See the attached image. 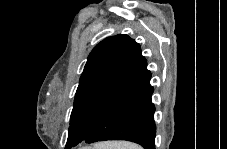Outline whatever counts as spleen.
I'll use <instances>...</instances> for the list:
<instances>
[{
  "instance_id": "3e777b00",
  "label": "spleen",
  "mask_w": 227,
  "mask_h": 149,
  "mask_svg": "<svg viewBox=\"0 0 227 149\" xmlns=\"http://www.w3.org/2000/svg\"><path fill=\"white\" fill-rule=\"evenodd\" d=\"M98 149H142L140 146L130 142H106L97 146Z\"/></svg>"
}]
</instances>
